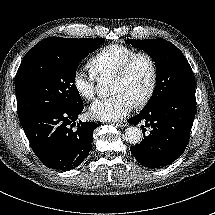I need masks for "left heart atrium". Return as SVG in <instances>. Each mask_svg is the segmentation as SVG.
<instances>
[{
  "mask_svg": "<svg viewBox=\"0 0 215 215\" xmlns=\"http://www.w3.org/2000/svg\"><path fill=\"white\" fill-rule=\"evenodd\" d=\"M133 101L123 93L94 102L90 114L100 121H118L127 116L133 109Z\"/></svg>",
  "mask_w": 215,
  "mask_h": 215,
  "instance_id": "1",
  "label": "left heart atrium"
}]
</instances>
